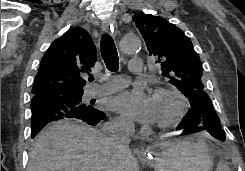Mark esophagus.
Segmentation results:
<instances>
[{
	"label": "esophagus",
	"mask_w": 245,
	"mask_h": 171,
	"mask_svg": "<svg viewBox=\"0 0 245 171\" xmlns=\"http://www.w3.org/2000/svg\"><path fill=\"white\" fill-rule=\"evenodd\" d=\"M101 28H102V30H103L104 33H109L110 30H111V26H110V24H109L108 21H104V22L102 23ZM144 154H145V156L148 155V153H144Z\"/></svg>",
	"instance_id": "esophagus-1"
}]
</instances>
